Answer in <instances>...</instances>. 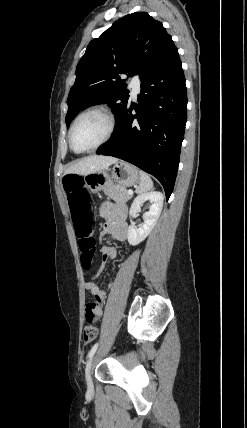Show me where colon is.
<instances>
[{"label": "colon", "mask_w": 247, "mask_h": 428, "mask_svg": "<svg viewBox=\"0 0 247 428\" xmlns=\"http://www.w3.org/2000/svg\"><path fill=\"white\" fill-rule=\"evenodd\" d=\"M63 186L70 206V215L73 218L78 237L81 265L83 269L89 271L95 253V240L91 235L93 221L89 208V195L83 179L77 175L65 176ZM85 303L86 309L84 313L86 314L88 323L84 327L83 339L89 343L98 335V328L95 325L102 319L104 301L101 298H87Z\"/></svg>", "instance_id": "5ec220e1"}]
</instances>
